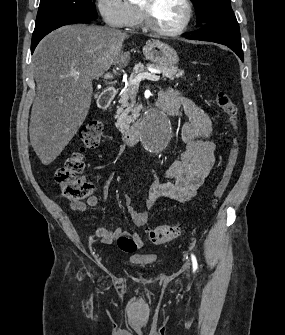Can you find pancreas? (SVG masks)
I'll list each match as a JSON object with an SVG mask.
<instances>
[{
    "label": "pancreas",
    "mask_w": 285,
    "mask_h": 335,
    "mask_svg": "<svg viewBox=\"0 0 285 335\" xmlns=\"http://www.w3.org/2000/svg\"><path fill=\"white\" fill-rule=\"evenodd\" d=\"M146 68L162 70L164 74H167V78H171V80H174V78H182L184 74L183 70H179L177 66H173V68H167V66H158V64H147V66H143V64H137V66H135L133 70V74H135V72H139V74H142V72H147ZM133 74H130L128 76V79L130 81H133L135 79V76ZM130 88L131 85H128V88H126L125 92H122L120 96L119 104H121V106L120 108H118V111H116L115 114L116 125H133V123L137 122L138 120V105H131L128 102Z\"/></svg>",
    "instance_id": "obj_1"
}]
</instances>
